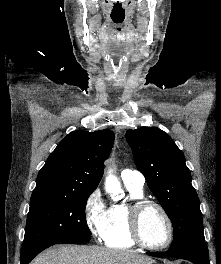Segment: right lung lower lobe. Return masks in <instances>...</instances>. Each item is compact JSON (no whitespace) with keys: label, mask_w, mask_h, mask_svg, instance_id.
I'll return each instance as SVG.
<instances>
[{"label":"right lung lower lobe","mask_w":221,"mask_h":264,"mask_svg":"<svg viewBox=\"0 0 221 264\" xmlns=\"http://www.w3.org/2000/svg\"><path fill=\"white\" fill-rule=\"evenodd\" d=\"M74 244V243H73ZM51 245H47V246H43L40 247L36 250H33L31 252H28L26 254H22L21 255V264H29V262L37 255L39 254L41 251H43L44 249L48 248Z\"/></svg>","instance_id":"1"}]
</instances>
